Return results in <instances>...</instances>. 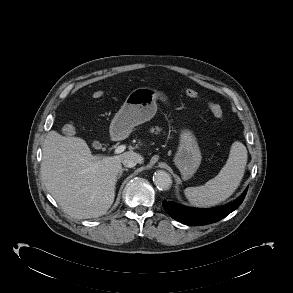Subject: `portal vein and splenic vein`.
I'll use <instances>...</instances> for the list:
<instances>
[{"mask_svg":"<svg viewBox=\"0 0 293 293\" xmlns=\"http://www.w3.org/2000/svg\"><path fill=\"white\" fill-rule=\"evenodd\" d=\"M125 149H126V146H125V145H120V146H118V147L114 150V153H115V154H120V153L124 152Z\"/></svg>","mask_w":293,"mask_h":293,"instance_id":"obj_1","label":"portal vein and splenic vein"}]
</instances>
